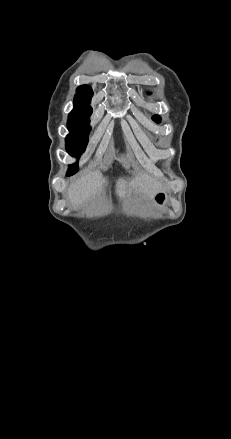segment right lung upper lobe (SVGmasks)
<instances>
[{
	"label": "right lung upper lobe",
	"instance_id": "1",
	"mask_svg": "<svg viewBox=\"0 0 231 439\" xmlns=\"http://www.w3.org/2000/svg\"><path fill=\"white\" fill-rule=\"evenodd\" d=\"M93 91L90 86L82 85L77 88L74 98V110L70 114H86L92 113V108L89 105Z\"/></svg>",
	"mask_w": 231,
	"mask_h": 439
}]
</instances>
